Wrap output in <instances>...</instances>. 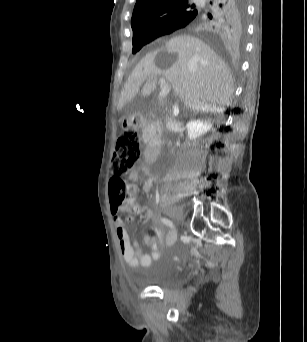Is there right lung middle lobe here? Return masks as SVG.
I'll return each mask as SVG.
<instances>
[{"mask_svg": "<svg viewBox=\"0 0 307 342\" xmlns=\"http://www.w3.org/2000/svg\"><path fill=\"white\" fill-rule=\"evenodd\" d=\"M169 31H155V32H144L140 34L133 35V49L132 53L138 52L144 45L154 40L157 37L169 34Z\"/></svg>", "mask_w": 307, "mask_h": 342, "instance_id": "1", "label": "right lung middle lobe"}]
</instances>
